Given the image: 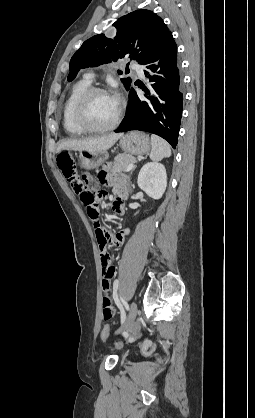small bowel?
I'll return each instance as SVG.
<instances>
[{"instance_id": "obj_1", "label": "small bowel", "mask_w": 255, "mask_h": 418, "mask_svg": "<svg viewBox=\"0 0 255 418\" xmlns=\"http://www.w3.org/2000/svg\"><path fill=\"white\" fill-rule=\"evenodd\" d=\"M100 180L103 182L109 181L105 171H102L100 173ZM113 185V210L117 213H123L124 206L122 204V199L126 195L125 188L123 184L120 182H113ZM100 233L102 235H97L95 239L98 243V247L100 248L99 254L102 267V289L105 293L102 298V318L103 320H116L118 318V313L115 311L112 300L108 295V291L110 289V281L115 275V267L113 265L112 257L110 255L111 249L109 248V243L111 241L114 247H120L124 243L127 235L129 234V231L123 230L122 232L117 233L115 235H110L109 233H107V230L105 228H102L100 230Z\"/></svg>"}]
</instances>
